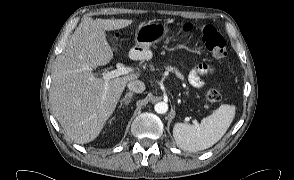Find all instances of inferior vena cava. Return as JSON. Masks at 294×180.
I'll list each match as a JSON object with an SVG mask.
<instances>
[{
	"instance_id": "inferior-vena-cava-1",
	"label": "inferior vena cava",
	"mask_w": 294,
	"mask_h": 180,
	"mask_svg": "<svg viewBox=\"0 0 294 180\" xmlns=\"http://www.w3.org/2000/svg\"><path fill=\"white\" fill-rule=\"evenodd\" d=\"M127 87L130 91L135 93H142L146 88L144 82L140 80L129 81Z\"/></svg>"
}]
</instances>
